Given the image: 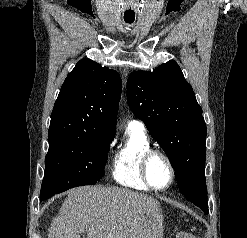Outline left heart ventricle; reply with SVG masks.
Here are the masks:
<instances>
[{
  "instance_id": "left-heart-ventricle-1",
  "label": "left heart ventricle",
  "mask_w": 247,
  "mask_h": 238,
  "mask_svg": "<svg viewBox=\"0 0 247 238\" xmlns=\"http://www.w3.org/2000/svg\"><path fill=\"white\" fill-rule=\"evenodd\" d=\"M149 178L156 187H163L170 180V169L166 161L160 156L151 159L148 167Z\"/></svg>"
}]
</instances>
